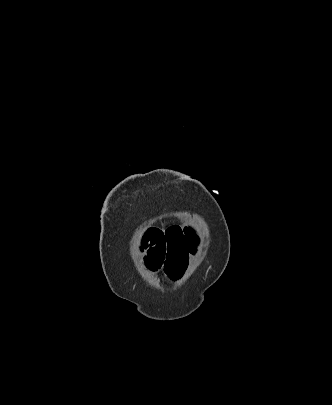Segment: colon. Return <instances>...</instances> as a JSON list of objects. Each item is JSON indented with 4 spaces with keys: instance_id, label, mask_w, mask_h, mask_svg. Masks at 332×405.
<instances>
[{
    "instance_id": "obj_1",
    "label": "colon",
    "mask_w": 332,
    "mask_h": 405,
    "mask_svg": "<svg viewBox=\"0 0 332 405\" xmlns=\"http://www.w3.org/2000/svg\"><path fill=\"white\" fill-rule=\"evenodd\" d=\"M191 225L193 229H201L203 224L201 220H193Z\"/></svg>"
}]
</instances>
